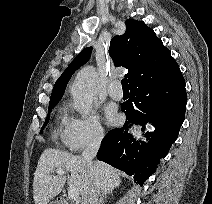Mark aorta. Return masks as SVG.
I'll list each match as a JSON object with an SVG mask.
<instances>
[{
	"instance_id": "1",
	"label": "aorta",
	"mask_w": 212,
	"mask_h": 204,
	"mask_svg": "<svg viewBox=\"0 0 212 204\" xmlns=\"http://www.w3.org/2000/svg\"><path fill=\"white\" fill-rule=\"evenodd\" d=\"M97 80L96 69L93 66H86L78 72L72 84L73 107L83 116H87L92 110Z\"/></svg>"
}]
</instances>
